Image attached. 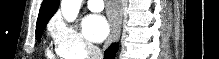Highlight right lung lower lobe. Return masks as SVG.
Returning a JSON list of instances; mask_svg holds the SVG:
<instances>
[{
	"mask_svg": "<svg viewBox=\"0 0 219 59\" xmlns=\"http://www.w3.org/2000/svg\"><path fill=\"white\" fill-rule=\"evenodd\" d=\"M117 50H118V44H117V43H113V44L105 51L104 59H114Z\"/></svg>",
	"mask_w": 219,
	"mask_h": 59,
	"instance_id": "right-lung-lower-lobe-1",
	"label": "right lung lower lobe"
}]
</instances>
